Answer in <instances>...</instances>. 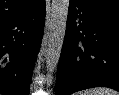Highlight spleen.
<instances>
[{
	"label": "spleen",
	"mask_w": 119,
	"mask_h": 95,
	"mask_svg": "<svg viewBox=\"0 0 119 95\" xmlns=\"http://www.w3.org/2000/svg\"><path fill=\"white\" fill-rule=\"evenodd\" d=\"M77 95H119V93L109 88L100 87L79 92Z\"/></svg>",
	"instance_id": "obj_1"
}]
</instances>
